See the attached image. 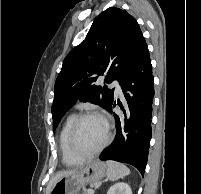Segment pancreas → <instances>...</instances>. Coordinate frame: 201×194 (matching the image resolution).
Listing matches in <instances>:
<instances>
[{
	"label": "pancreas",
	"instance_id": "pancreas-1",
	"mask_svg": "<svg viewBox=\"0 0 201 194\" xmlns=\"http://www.w3.org/2000/svg\"><path fill=\"white\" fill-rule=\"evenodd\" d=\"M79 194H88V191L84 190L83 192H81Z\"/></svg>",
	"mask_w": 201,
	"mask_h": 194
}]
</instances>
